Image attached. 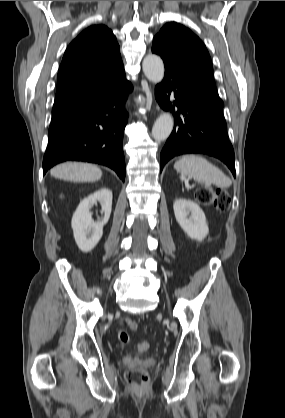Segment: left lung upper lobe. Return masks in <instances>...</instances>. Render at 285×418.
I'll use <instances>...</instances> for the list:
<instances>
[{
  "instance_id": "obj_1",
  "label": "left lung upper lobe",
  "mask_w": 285,
  "mask_h": 418,
  "mask_svg": "<svg viewBox=\"0 0 285 418\" xmlns=\"http://www.w3.org/2000/svg\"><path fill=\"white\" fill-rule=\"evenodd\" d=\"M153 44L159 45L171 59L216 87L209 53L191 30L176 22L167 23L154 37Z\"/></svg>"
}]
</instances>
